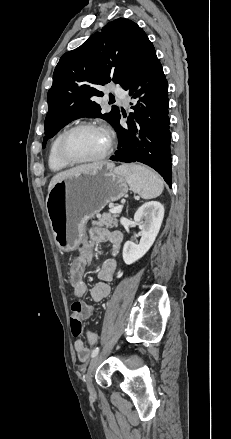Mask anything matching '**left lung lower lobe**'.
Returning a JSON list of instances; mask_svg holds the SVG:
<instances>
[{"instance_id":"0a47b994","label":"left lung lower lobe","mask_w":231,"mask_h":439,"mask_svg":"<svg viewBox=\"0 0 231 439\" xmlns=\"http://www.w3.org/2000/svg\"><path fill=\"white\" fill-rule=\"evenodd\" d=\"M123 89L139 100L132 107L135 113L128 117V129L120 125L121 116L117 121L119 144L110 160L144 163L171 187L168 84L153 46Z\"/></svg>"}]
</instances>
